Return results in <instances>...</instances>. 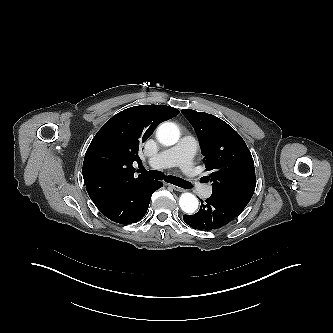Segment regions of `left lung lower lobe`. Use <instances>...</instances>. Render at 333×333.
I'll return each mask as SVG.
<instances>
[{"instance_id": "0a47b994", "label": "left lung lower lobe", "mask_w": 333, "mask_h": 333, "mask_svg": "<svg viewBox=\"0 0 333 333\" xmlns=\"http://www.w3.org/2000/svg\"><path fill=\"white\" fill-rule=\"evenodd\" d=\"M201 202V207L196 214L183 216L185 223L194 229L205 231L218 229L241 213L214 195H211L205 203Z\"/></svg>"}]
</instances>
